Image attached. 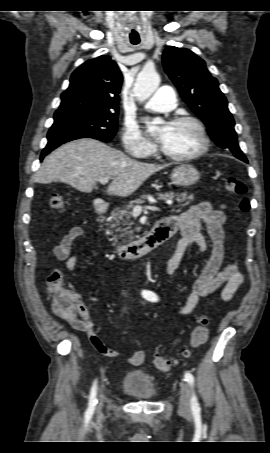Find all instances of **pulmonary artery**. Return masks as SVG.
<instances>
[{
  "instance_id": "obj_1",
  "label": "pulmonary artery",
  "mask_w": 270,
  "mask_h": 453,
  "mask_svg": "<svg viewBox=\"0 0 270 453\" xmlns=\"http://www.w3.org/2000/svg\"><path fill=\"white\" fill-rule=\"evenodd\" d=\"M145 108L154 112H169L176 106V95L171 87L159 88L145 103Z\"/></svg>"
}]
</instances>
